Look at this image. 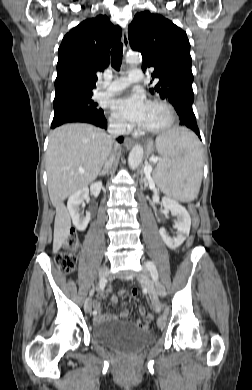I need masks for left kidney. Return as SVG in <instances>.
<instances>
[{
    "label": "left kidney",
    "mask_w": 252,
    "mask_h": 390,
    "mask_svg": "<svg viewBox=\"0 0 252 390\" xmlns=\"http://www.w3.org/2000/svg\"><path fill=\"white\" fill-rule=\"evenodd\" d=\"M152 199L153 203H159L158 194L155 193ZM162 204L166 210L171 211L172 215L177 216V221L174 224V227L177 229V233L175 237H170L164 228H161L159 233L168 248L176 249L185 241L186 237L189 235L191 218L187 210L177 201L171 198L163 197Z\"/></svg>",
    "instance_id": "left-kidney-1"
}]
</instances>
